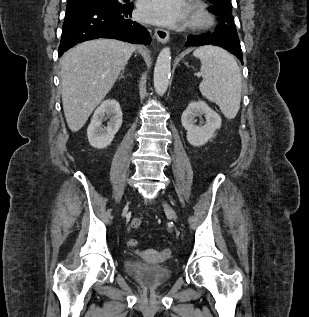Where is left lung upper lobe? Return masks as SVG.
Instances as JSON below:
<instances>
[{
    "label": "left lung upper lobe",
    "instance_id": "1",
    "mask_svg": "<svg viewBox=\"0 0 309 317\" xmlns=\"http://www.w3.org/2000/svg\"><path fill=\"white\" fill-rule=\"evenodd\" d=\"M213 5L209 8V11L219 16L218 32H228L237 35L236 26L232 17V4L230 0H207Z\"/></svg>",
    "mask_w": 309,
    "mask_h": 317
}]
</instances>
